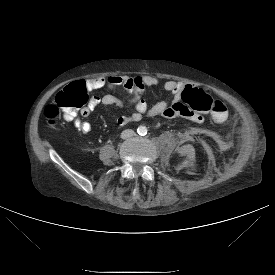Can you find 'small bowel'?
Listing matches in <instances>:
<instances>
[{
	"label": "small bowel",
	"mask_w": 275,
	"mask_h": 275,
	"mask_svg": "<svg viewBox=\"0 0 275 275\" xmlns=\"http://www.w3.org/2000/svg\"><path fill=\"white\" fill-rule=\"evenodd\" d=\"M159 83L160 81L157 77L150 75H114L106 78L101 76L93 77L87 80L86 84L88 89L106 87L109 91H116L120 88L126 91L128 102L133 105L134 112L128 116H119L116 119L118 126H124L131 122H138L144 116L149 118L162 116L168 119L185 117L198 123L203 121V118L200 115L192 113L186 105L181 102V91L185 87L184 82L174 80L164 82L163 88L173 95L172 102L168 103L166 101H160L149 107L145 100L146 88L157 86ZM99 105L115 106L119 109H123L125 101L111 93L94 95L89 99L86 107L81 111V115L84 117L88 116ZM73 123L75 127L83 133L91 131V124L86 120L74 118Z\"/></svg>",
	"instance_id": "obj_1"
}]
</instances>
